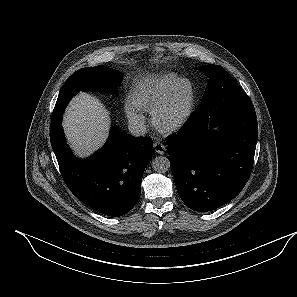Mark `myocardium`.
Instances as JSON below:
<instances>
[{"mask_svg":"<svg viewBox=\"0 0 297 297\" xmlns=\"http://www.w3.org/2000/svg\"><path fill=\"white\" fill-rule=\"evenodd\" d=\"M185 87V101L178 115L169 122L163 121L167 109L174 103L182 87ZM195 105V90L192 82L179 78L164 99L151 111V122L155 129L163 134H172L180 130L190 119Z\"/></svg>","mask_w":297,"mask_h":297,"instance_id":"1","label":"myocardium"}]
</instances>
